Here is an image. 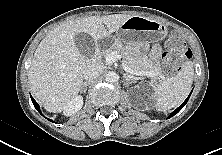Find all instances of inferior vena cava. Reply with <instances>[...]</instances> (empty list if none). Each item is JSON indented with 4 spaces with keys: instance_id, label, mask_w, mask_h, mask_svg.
Here are the masks:
<instances>
[{
    "instance_id": "obj_1",
    "label": "inferior vena cava",
    "mask_w": 222,
    "mask_h": 155,
    "mask_svg": "<svg viewBox=\"0 0 222 155\" xmlns=\"http://www.w3.org/2000/svg\"><path fill=\"white\" fill-rule=\"evenodd\" d=\"M103 72V67L99 64L92 63L87 66L83 71V77L85 80H92L93 78L98 77Z\"/></svg>"
}]
</instances>
